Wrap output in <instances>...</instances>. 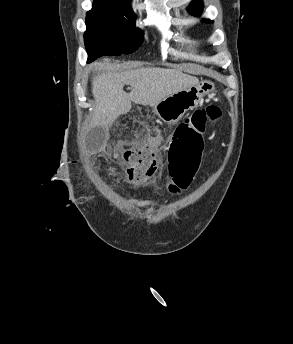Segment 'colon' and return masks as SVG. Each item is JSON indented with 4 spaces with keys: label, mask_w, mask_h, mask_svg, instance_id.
Instances as JSON below:
<instances>
[{
    "label": "colon",
    "mask_w": 293,
    "mask_h": 344,
    "mask_svg": "<svg viewBox=\"0 0 293 344\" xmlns=\"http://www.w3.org/2000/svg\"><path fill=\"white\" fill-rule=\"evenodd\" d=\"M220 116L221 109L211 105L193 111L177 126L170 143L173 171L168 184L170 192L180 193L191 183L200 164L207 126ZM152 156L153 144L148 140L125 149L123 164L131 185L145 186L151 182L154 167Z\"/></svg>",
    "instance_id": "colon-1"
}]
</instances>
